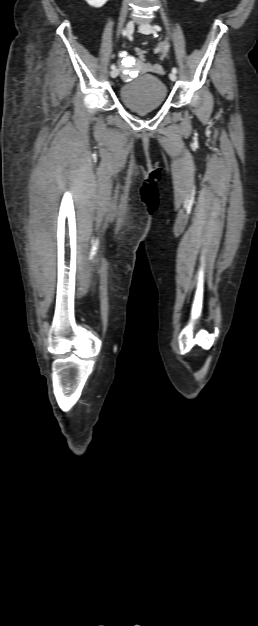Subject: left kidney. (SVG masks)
Listing matches in <instances>:
<instances>
[{
  "instance_id": "5707ae66",
  "label": "left kidney",
  "mask_w": 258,
  "mask_h": 626,
  "mask_svg": "<svg viewBox=\"0 0 258 626\" xmlns=\"http://www.w3.org/2000/svg\"><path fill=\"white\" fill-rule=\"evenodd\" d=\"M196 2H206L207 0H194Z\"/></svg>"
}]
</instances>
